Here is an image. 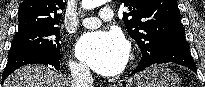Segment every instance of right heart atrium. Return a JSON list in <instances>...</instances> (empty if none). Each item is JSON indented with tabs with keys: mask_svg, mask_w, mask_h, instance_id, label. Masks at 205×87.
I'll return each mask as SVG.
<instances>
[{
	"mask_svg": "<svg viewBox=\"0 0 205 87\" xmlns=\"http://www.w3.org/2000/svg\"><path fill=\"white\" fill-rule=\"evenodd\" d=\"M70 68L73 74L79 75V74H86L89 72L87 66L80 61L72 60L70 62Z\"/></svg>",
	"mask_w": 205,
	"mask_h": 87,
	"instance_id": "right-heart-atrium-1",
	"label": "right heart atrium"
}]
</instances>
